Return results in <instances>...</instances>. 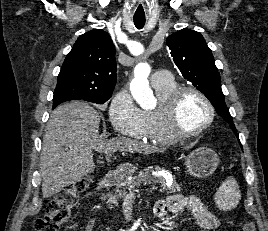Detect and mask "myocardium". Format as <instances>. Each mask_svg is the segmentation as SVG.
<instances>
[{"label": "myocardium", "instance_id": "myocardium-1", "mask_svg": "<svg viewBox=\"0 0 268 231\" xmlns=\"http://www.w3.org/2000/svg\"><path fill=\"white\" fill-rule=\"evenodd\" d=\"M194 93L207 105L209 111L208 120L192 131H183L178 124V107L182 97L186 93ZM164 119L168 133L176 139H185L198 136L209 128L215 119V108L208 96L201 90L192 86L178 87L166 100L164 105Z\"/></svg>", "mask_w": 268, "mask_h": 231}]
</instances>
